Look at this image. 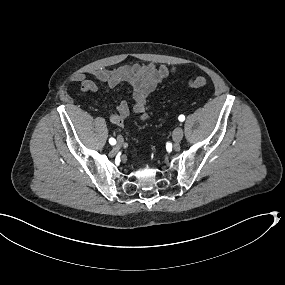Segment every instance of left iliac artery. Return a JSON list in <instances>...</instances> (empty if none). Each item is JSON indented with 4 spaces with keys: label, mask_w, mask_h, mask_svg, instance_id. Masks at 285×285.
Returning <instances> with one entry per match:
<instances>
[{
    "label": "left iliac artery",
    "mask_w": 285,
    "mask_h": 285,
    "mask_svg": "<svg viewBox=\"0 0 285 285\" xmlns=\"http://www.w3.org/2000/svg\"><path fill=\"white\" fill-rule=\"evenodd\" d=\"M178 119H179V121L183 122V121L185 120V116H184V115H180V116L178 117Z\"/></svg>",
    "instance_id": "obj_1"
}]
</instances>
